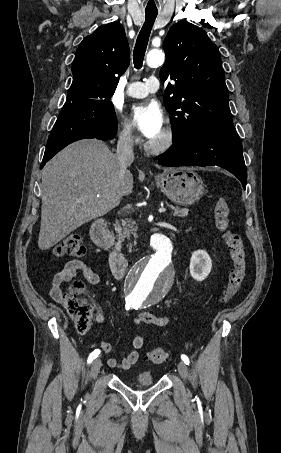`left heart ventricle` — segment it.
<instances>
[{
    "instance_id": "obj_1",
    "label": "left heart ventricle",
    "mask_w": 281,
    "mask_h": 453,
    "mask_svg": "<svg viewBox=\"0 0 281 453\" xmlns=\"http://www.w3.org/2000/svg\"><path fill=\"white\" fill-rule=\"evenodd\" d=\"M163 139H164V127L157 134H155L154 136L149 138V140L155 141V142H160Z\"/></svg>"
}]
</instances>
